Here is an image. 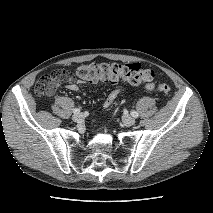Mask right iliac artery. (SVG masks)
I'll use <instances>...</instances> for the list:
<instances>
[{
    "label": "right iliac artery",
    "mask_w": 213,
    "mask_h": 213,
    "mask_svg": "<svg viewBox=\"0 0 213 213\" xmlns=\"http://www.w3.org/2000/svg\"><path fill=\"white\" fill-rule=\"evenodd\" d=\"M73 113H74V114H79V113H80V109H79V108H75V109L73 110Z\"/></svg>",
    "instance_id": "right-iliac-artery-1"
}]
</instances>
